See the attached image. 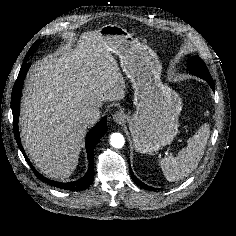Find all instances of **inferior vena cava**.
Returning <instances> with one entry per match:
<instances>
[{"mask_svg": "<svg viewBox=\"0 0 236 236\" xmlns=\"http://www.w3.org/2000/svg\"><path fill=\"white\" fill-rule=\"evenodd\" d=\"M101 111L97 107H88L83 111L82 120L86 125L95 124L100 118Z\"/></svg>", "mask_w": 236, "mask_h": 236, "instance_id": "obj_1", "label": "inferior vena cava"}]
</instances>
